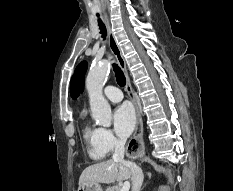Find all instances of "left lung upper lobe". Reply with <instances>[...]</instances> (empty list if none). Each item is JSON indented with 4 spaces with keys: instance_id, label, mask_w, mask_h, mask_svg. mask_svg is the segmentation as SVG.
Listing matches in <instances>:
<instances>
[{
    "instance_id": "obj_1",
    "label": "left lung upper lobe",
    "mask_w": 233,
    "mask_h": 191,
    "mask_svg": "<svg viewBox=\"0 0 233 191\" xmlns=\"http://www.w3.org/2000/svg\"><path fill=\"white\" fill-rule=\"evenodd\" d=\"M87 70V63L81 62L71 78L70 94L73 99H76L83 92L84 75Z\"/></svg>"
}]
</instances>
